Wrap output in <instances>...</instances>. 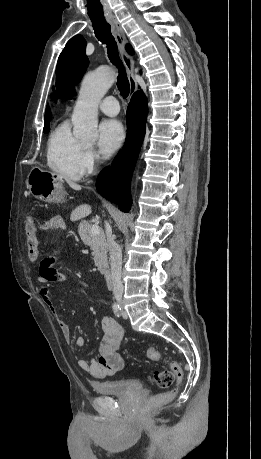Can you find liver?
<instances>
[{
  "label": "liver",
  "mask_w": 261,
  "mask_h": 459,
  "mask_svg": "<svg viewBox=\"0 0 261 459\" xmlns=\"http://www.w3.org/2000/svg\"><path fill=\"white\" fill-rule=\"evenodd\" d=\"M61 177V176H60ZM62 178V177H61ZM69 186L74 190H81V186L74 182L68 181ZM91 213V207L87 204L77 207L72 213V219L82 218L88 216Z\"/></svg>",
  "instance_id": "obj_1"
}]
</instances>
